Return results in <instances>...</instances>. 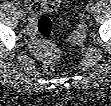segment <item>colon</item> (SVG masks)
Returning a JSON list of instances; mask_svg holds the SVG:
<instances>
[{"mask_svg": "<svg viewBox=\"0 0 111 106\" xmlns=\"http://www.w3.org/2000/svg\"><path fill=\"white\" fill-rule=\"evenodd\" d=\"M36 32L39 37L36 43L38 51L45 52L43 67L46 72H53L56 69V53L50 42L47 40L53 33L52 20L47 16H41L36 24Z\"/></svg>", "mask_w": 111, "mask_h": 106, "instance_id": "1", "label": "colon"}]
</instances>
